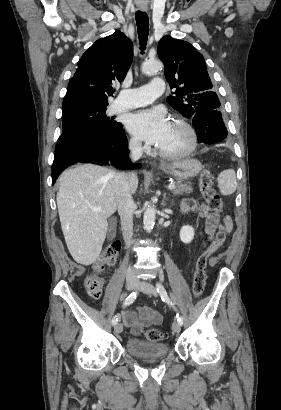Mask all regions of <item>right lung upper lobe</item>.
I'll return each instance as SVG.
<instances>
[{"mask_svg":"<svg viewBox=\"0 0 281 410\" xmlns=\"http://www.w3.org/2000/svg\"><path fill=\"white\" fill-rule=\"evenodd\" d=\"M133 58V45L123 33L97 40L82 56L70 79L63 106L75 103L108 105L113 83L125 78Z\"/></svg>","mask_w":281,"mask_h":410,"instance_id":"obj_1","label":"right lung upper lobe"}]
</instances>
